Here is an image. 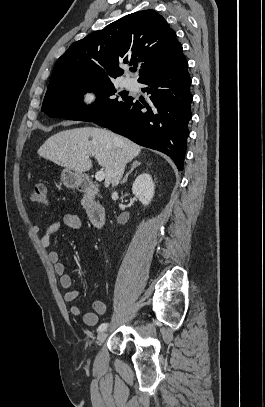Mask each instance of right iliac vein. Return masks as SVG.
<instances>
[{
    "label": "right iliac vein",
    "mask_w": 265,
    "mask_h": 407,
    "mask_svg": "<svg viewBox=\"0 0 265 407\" xmlns=\"http://www.w3.org/2000/svg\"><path fill=\"white\" fill-rule=\"evenodd\" d=\"M106 337H107V332L106 331H100L98 336H97L98 343L102 344L105 341Z\"/></svg>",
    "instance_id": "1"
}]
</instances>
